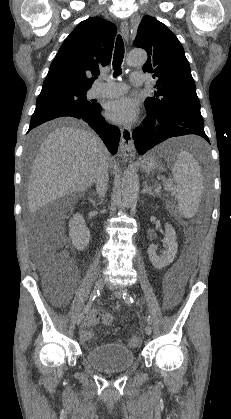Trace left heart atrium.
<instances>
[{
	"instance_id": "obj_1",
	"label": "left heart atrium",
	"mask_w": 231,
	"mask_h": 419,
	"mask_svg": "<svg viewBox=\"0 0 231 419\" xmlns=\"http://www.w3.org/2000/svg\"><path fill=\"white\" fill-rule=\"evenodd\" d=\"M107 117L114 123L129 125L137 117V105L130 97H122L107 105Z\"/></svg>"
}]
</instances>
